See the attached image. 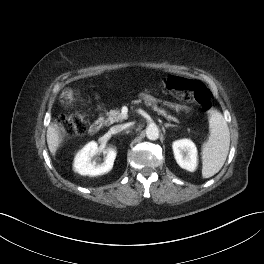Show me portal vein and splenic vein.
Wrapping results in <instances>:
<instances>
[{"label": "portal vein and splenic vein", "mask_w": 264, "mask_h": 264, "mask_svg": "<svg viewBox=\"0 0 264 264\" xmlns=\"http://www.w3.org/2000/svg\"><path fill=\"white\" fill-rule=\"evenodd\" d=\"M126 117H127V109L124 108V109L122 110V112H121V119H126Z\"/></svg>", "instance_id": "obj_1"}]
</instances>
